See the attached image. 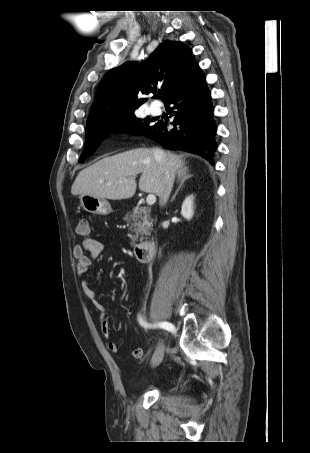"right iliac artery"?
Returning a JSON list of instances; mask_svg holds the SVG:
<instances>
[{
  "mask_svg": "<svg viewBox=\"0 0 310 453\" xmlns=\"http://www.w3.org/2000/svg\"><path fill=\"white\" fill-rule=\"evenodd\" d=\"M139 322H140V324L142 326H144L146 328L147 327H151L149 324L144 322L141 317H139ZM158 327L166 329V330L171 331V332H174V330H175L174 326L171 323H169V322H161V323L158 324Z\"/></svg>",
  "mask_w": 310,
  "mask_h": 453,
  "instance_id": "82829eb1",
  "label": "right iliac artery"
}]
</instances>
